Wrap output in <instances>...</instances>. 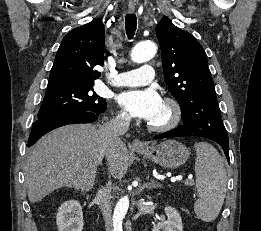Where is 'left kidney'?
Masks as SVG:
<instances>
[{
	"label": "left kidney",
	"instance_id": "left-kidney-1",
	"mask_svg": "<svg viewBox=\"0 0 261 231\" xmlns=\"http://www.w3.org/2000/svg\"><path fill=\"white\" fill-rule=\"evenodd\" d=\"M167 220L157 223L152 231H182L183 224L179 212L170 206L165 207Z\"/></svg>",
	"mask_w": 261,
	"mask_h": 231
}]
</instances>
